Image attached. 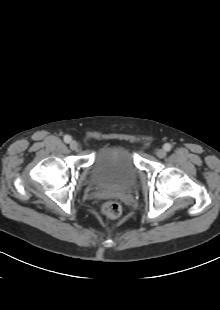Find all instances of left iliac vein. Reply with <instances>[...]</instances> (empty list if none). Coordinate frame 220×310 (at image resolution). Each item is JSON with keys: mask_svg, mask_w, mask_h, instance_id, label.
Segmentation results:
<instances>
[{"mask_svg": "<svg viewBox=\"0 0 220 310\" xmlns=\"http://www.w3.org/2000/svg\"><path fill=\"white\" fill-rule=\"evenodd\" d=\"M156 156L158 158H164L166 156V151L164 149H158L156 151Z\"/></svg>", "mask_w": 220, "mask_h": 310, "instance_id": "obj_1", "label": "left iliac vein"}]
</instances>
